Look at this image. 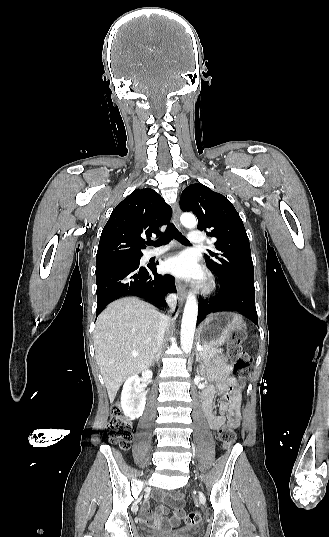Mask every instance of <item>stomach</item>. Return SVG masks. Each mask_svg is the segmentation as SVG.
<instances>
[{"mask_svg": "<svg viewBox=\"0 0 329 537\" xmlns=\"http://www.w3.org/2000/svg\"><path fill=\"white\" fill-rule=\"evenodd\" d=\"M245 323L239 314L217 312L210 314L198 330L199 341L204 345H222L232 333L243 332Z\"/></svg>", "mask_w": 329, "mask_h": 537, "instance_id": "stomach-1", "label": "stomach"}]
</instances>
